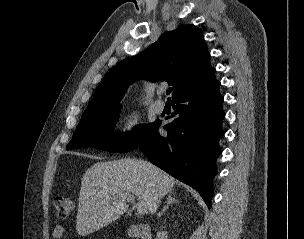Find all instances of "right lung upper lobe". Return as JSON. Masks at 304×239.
I'll return each instance as SVG.
<instances>
[{
  "label": "right lung upper lobe",
  "mask_w": 304,
  "mask_h": 239,
  "mask_svg": "<svg viewBox=\"0 0 304 239\" xmlns=\"http://www.w3.org/2000/svg\"><path fill=\"white\" fill-rule=\"evenodd\" d=\"M194 25L166 32L142 53L126 58L107 74L82 118L117 106L128 86L141 78L168 81L173 96L211 73L210 54Z\"/></svg>",
  "instance_id": "obj_1"
}]
</instances>
